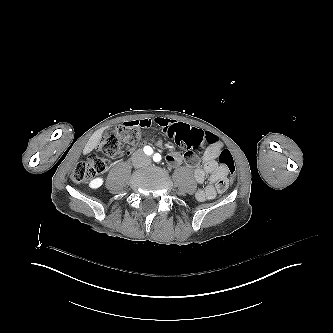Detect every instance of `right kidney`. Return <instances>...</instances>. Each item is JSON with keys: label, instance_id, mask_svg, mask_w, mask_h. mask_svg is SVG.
<instances>
[{"label": "right kidney", "instance_id": "1", "mask_svg": "<svg viewBox=\"0 0 333 333\" xmlns=\"http://www.w3.org/2000/svg\"><path fill=\"white\" fill-rule=\"evenodd\" d=\"M103 184V179L98 177L90 181L89 187L92 189H97Z\"/></svg>", "mask_w": 333, "mask_h": 333}]
</instances>
